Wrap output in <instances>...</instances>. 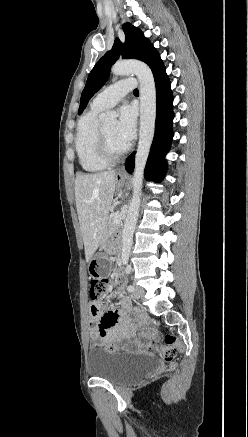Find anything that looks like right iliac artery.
<instances>
[{"mask_svg": "<svg viewBox=\"0 0 248 437\" xmlns=\"http://www.w3.org/2000/svg\"><path fill=\"white\" fill-rule=\"evenodd\" d=\"M124 264H127V259H124Z\"/></svg>", "mask_w": 248, "mask_h": 437, "instance_id": "right-iliac-artery-1", "label": "right iliac artery"}]
</instances>
